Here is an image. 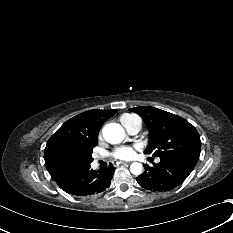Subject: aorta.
Returning a JSON list of instances; mask_svg holds the SVG:
<instances>
[{"label": "aorta", "instance_id": "aorta-1", "mask_svg": "<svg viewBox=\"0 0 233 233\" xmlns=\"http://www.w3.org/2000/svg\"><path fill=\"white\" fill-rule=\"evenodd\" d=\"M103 137L106 142L110 144H119L126 137L125 130L123 127L116 123H109L103 127ZM130 171L133 175H140L143 171L141 163L134 162L130 165Z\"/></svg>", "mask_w": 233, "mask_h": 233}]
</instances>
